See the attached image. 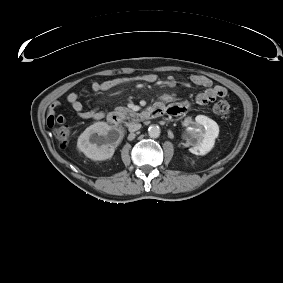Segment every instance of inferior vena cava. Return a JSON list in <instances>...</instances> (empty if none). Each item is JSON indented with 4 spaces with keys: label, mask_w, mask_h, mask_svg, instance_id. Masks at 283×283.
Masks as SVG:
<instances>
[{
    "label": "inferior vena cava",
    "mask_w": 283,
    "mask_h": 283,
    "mask_svg": "<svg viewBox=\"0 0 283 283\" xmlns=\"http://www.w3.org/2000/svg\"><path fill=\"white\" fill-rule=\"evenodd\" d=\"M127 126H128L129 132H135L141 128V124L135 123V122H131Z\"/></svg>",
    "instance_id": "602c4592"
}]
</instances>
